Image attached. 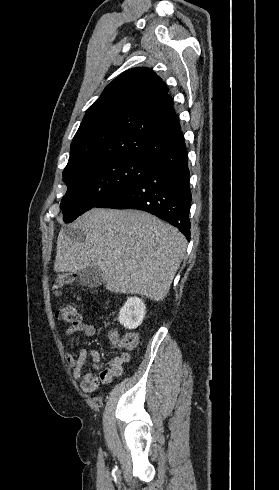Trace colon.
Instances as JSON below:
<instances>
[{"label": "colon", "mask_w": 279, "mask_h": 490, "mask_svg": "<svg viewBox=\"0 0 279 490\" xmlns=\"http://www.w3.org/2000/svg\"><path fill=\"white\" fill-rule=\"evenodd\" d=\"M75 277L70 273H60L58 277L52 282L51 289L55 293H59L60 289L67 284L74 282ZM56 318L63 323L70 326L75 325L79 321V315L77 309L72 305L61 306L56 310ZM106 337L111 338L112 341H116L117 348L130 347L131 350L135 348L137 344V334L127 333L126 335L119 336L118 329H107Z\"/></svg>", "instance_id": "obj_1"}]
</instances>
